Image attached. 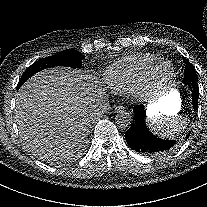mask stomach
Returning a JSON list of instances; mask_svg holds the SVG:
<instances>
[{"label":"stomach","instance_id":"stomach-1","mask_svg":"<svg viewBox=\"0 0 207 207\" xmlns=\"http://www.w3.org/2000/svg\"><path fill=\"white\" fill-rule=\"evenodd\" d=\"M181 98L177 90H171L165 96L159 98L148 107V117L150 119L172 116L180 111Z\"/></svg>","mask_w":207,"mask_h":207}]
</instances>
